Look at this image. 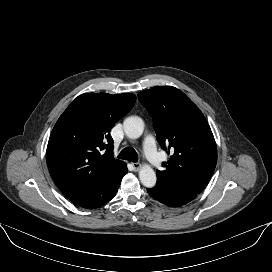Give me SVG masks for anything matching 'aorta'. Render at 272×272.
Returning a JSON list of instances; mask_svg holds the SVG:
<instances>
[{
	"instance_id": "obj_1",
	"label": "aorta",
	"mask_w": 272,
	"mask_h": 272,
	"mask_svg": "<svg viewBox=\"0 0 272 272\" xmlns=\"http://www.w3.org/2000/svg\"><path fill=\"white\" fill-rule=\"evenodd\" d=\"M123 127L127 137L137 139L144 131V122L137 116H130L125 119ZM139 179L147 188L154 187L157 181L156 173L149 165L142 166L139 171Z\"/></svg>"
}]
</instances>
